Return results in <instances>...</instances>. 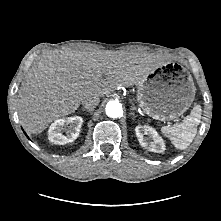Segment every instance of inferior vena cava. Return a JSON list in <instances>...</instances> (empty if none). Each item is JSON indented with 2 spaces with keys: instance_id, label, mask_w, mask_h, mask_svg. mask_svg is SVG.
I'll return each mask as SVG.
<instances>
[{
  "instance_id": "obj_1",
  "label": "inferior vena cava",
  "mask_w": 221,
  "mask_h": 221,
  "mask_svg": "<svg viewBox=\"0 0 221 221\" xmlns=\"http://www.w3.org/2000/svg\"><path fill=\"white\" fill-rule=\"evenodd\" d=\"M99 101L98 95H90L82 100V105L86 109L93 110L99 104Z\"/></svg>"
}]
</instances>
